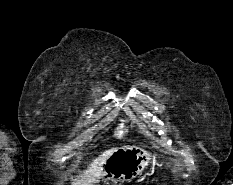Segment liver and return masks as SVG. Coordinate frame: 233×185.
Returning a JSON list of instances; mask_svg holds the SVG:
<instances>
[{"instance_id": "1", "label": "liver", "mask_w": 233, "mask_h": 185, "mask_svg": "<svg viewBox=\"0 0 233 185\" xmlns=\"http://www.w3.org/2000/svg\"><path fill=\"white\" fill-rule=\"evenodd\" d=\"M116 149L117 148L109 149L94 159L89 168L73 180L74 182L72 185H93L98 182L102 176L104 163Z\"/></svg>"}]
</instances>
